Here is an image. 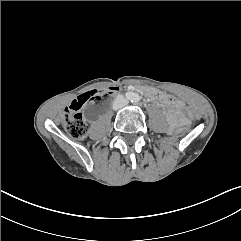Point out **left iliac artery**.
<instances>
[{
    "instance_id": "1",
    "label": "left iliac artery",
    "mask_w": 241,
    "mask_h": 241,
    "mask_svg": "<svg viewBox=\"0 0 241 241\" xmlns=\"http://www.w3.org/2000/svg\"><path fill=\"white\" fill-rule=\"evenodd\" d=\"M138 101H139V97H138L137 95H135V96L133 97L132 102L137 103Z\"/></svg>"
}]
</instances>
